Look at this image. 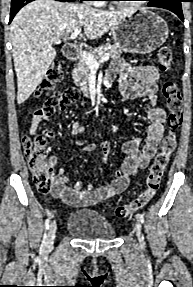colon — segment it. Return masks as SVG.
<instances>
[{"instance_id": "5ec220e1", "label": "colon", "mask_w": 193, "mask_h": 287, "mask_svg": "<svg viewBox=\"0 0 193 287\" xmlns=\"http://www.w3.org/2000/svg\"><path fill=\"white\" fill-rule=\"evenodd\" d=\"M158 67L167 71L172 67L173 57L168 47H161L156 56ZM63 79V70L60 61H54L46 71L40 86L39 93L47 94ZM162 93L168 109V131L164 136L159 152L154 158L146 178V188L128 204L120 205L115 210L118 218H126L149 203L158 191L164 171L177 145V132L183 120V101L179 87L174 82H165ZM80 93L75 88H68L55 95H49L45 105L37 110L35 116H49L56 108L64 109L76 103ZM23 145L32 174V180L38 191L49 192L52 184L53 168L49 161L46 139L43 136L25 137Z\"/></svg>"}]
</instances>
